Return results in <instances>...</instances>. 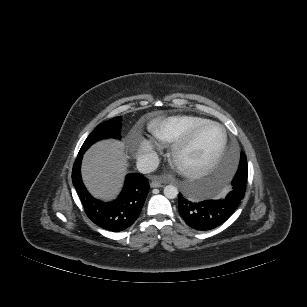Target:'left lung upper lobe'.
<instances>
[{
    "instance_id": "5c2ea615",
    "label": "left lung upper lobe",
    "mask_w": 307,
    "mask_h": 307,
    "mask_svg": "<svg viewBox=\"0 0 307 307\" xmlns=\"http://www.w3.org/2000/svg\"><path fill=\"white\" fill-rule=\"evenodd\" d=\"M247 175H248V170L241 169L240 165H239L237 173L235 174L232 182L233 183L240 182L241 188L245 189L246 188V182H247Z\"/></svg>"
}]
</instances>
